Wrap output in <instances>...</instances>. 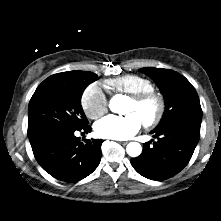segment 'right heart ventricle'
Here are the masks:
<instances>
[{"mask_svg": "<svg viewBox=\"0 0 221 221\" xmlns=\"http://www.w3.org/2000/svg\"><path fill=\"white\" fill-rule=\"evenodd\" d=\"M105 87L111 93L127 95L139 94L153 90V84L145 77L136 74H127L105 81Z\"/></svg>", "mask_w": 221, "mask_h": 221, "instance_id": "e07e8e85", "label": "right heart ventricle"}]
</instances>
